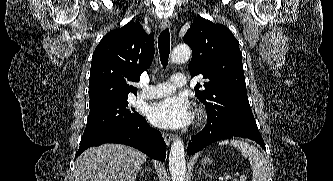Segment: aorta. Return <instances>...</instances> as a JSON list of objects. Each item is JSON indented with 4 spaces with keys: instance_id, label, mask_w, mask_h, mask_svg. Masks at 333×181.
Instances as JSON below:
<instances>
[{
    "instance_id": "1",
    "label": "aorta",
    "mask_w": 333,
    "mask_h": 181,
    "mask_svg": "<svg viewBox=\"0 0 333 181\" xmlns=\"http://www.w3.org/2000/svg\"><path fill=\"white\" fill-rule=\"evenodd\" d=\"M191 56V49L187 45H178L173 49L171 61L180 63L187 61ZM169 170L172 181H185L186 163L184 154V144L181 139L175 140L169 153Z\"/></svg>"
}]
</instances>
